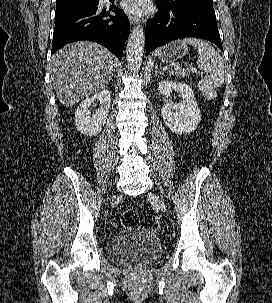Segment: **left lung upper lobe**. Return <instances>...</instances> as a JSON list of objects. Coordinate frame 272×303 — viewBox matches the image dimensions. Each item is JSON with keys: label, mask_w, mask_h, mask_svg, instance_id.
<instances>
[{"label": "left lung upper lobe", "mask_w": 272, "mask_h": 303, "mask_svg": "<svg viewBox=\"0 0 272 303\" xmlns=\"http://www.w3.org/2000/svg\"><path fill=\"white\" fill-rule=\"evenodd\" d=\"M166 8L204 7L213 8V0H156Z\"/></svg>", "instance_id": "1"}]
</instances>
